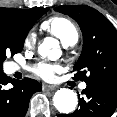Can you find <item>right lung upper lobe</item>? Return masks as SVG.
I'll return each instance as SVG.
<instances>
[{
	"instance_id": "obj_1",
	"label": "right lung upper lobe",
	"mask_w": 117,
	"mask_h": 117,
	"mask_svg": "<svg viewBox=\"0 0 117 117\" xmlns=\"http://www.w3.org/2000/svg\"><path fill=\"white\" fill-rule=\"evenodd\" d=\"M34 8L32 9H15V8H0V12H8L20 16H27L32 13Z\"/></svg>"
}]
</instances>
